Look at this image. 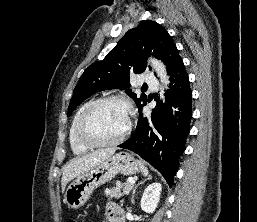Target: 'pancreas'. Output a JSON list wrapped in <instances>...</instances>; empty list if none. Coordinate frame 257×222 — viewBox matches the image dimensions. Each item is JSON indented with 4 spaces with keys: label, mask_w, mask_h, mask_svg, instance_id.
I'll return each mask as SVG.
<instances>
[{
    "label": "pancreas",
    "mask_w": 257,
    "mask_h": 222,
    "mask_svg": "<svg viewBox=\"0 0 257 222\" xmlns=\"http://www.w3.org/2000/svg\"><path fill=\"white\" fill-rule=\"evenodd\" d=\"M132 188H133V184L129 183L127 180L122 192H121V185L119 184L112 189H106L105 194L107 197H110V198H113V197L120 198L124 195H128L130 193V191L132 190Z\"/></svg>",
    "instance_id": "1"
}]
</instances>
